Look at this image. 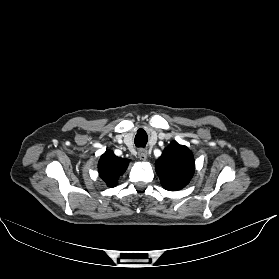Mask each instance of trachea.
<instances>
[{"label": "trachea", "mask_w": 279, "mask_h": 279, "mask_svg": "<svg viewBox=\"0 0 279 279\" xmlns=\"http://www.w3.org/2000/svg\"><path fill=\"white\" fill-rule=\"evenodd\" d=\"M147 134L146 132L143 130V129H139L136 136H135V145L137 147H145L146 146V143H147Z\"/></svg>", "instance_id": "trachea-1"}]
</instances>
